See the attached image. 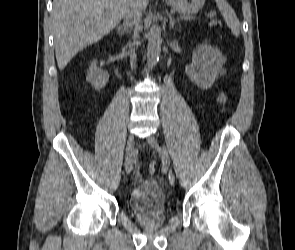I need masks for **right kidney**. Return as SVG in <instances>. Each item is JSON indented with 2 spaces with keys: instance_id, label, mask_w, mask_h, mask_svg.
<instances>
[{
  "instance_id": "obj_1",
  "label": "right kidney",
  "mask_w": 295,
  "mask_h": 250,
  "mask_svg": "<svg viewBox=\"0 0 295 250\" xmlns=\"http://www.w3.org/2000/svg\"><path fill=\"white\" fill-rule=\"evenodd\" d=\"M97 61L94 60L87 72L86 80L91 84L95 90H100L106 86L109 80V74L102 69L97 68Z\"/></svg>"
}]
</instances>
